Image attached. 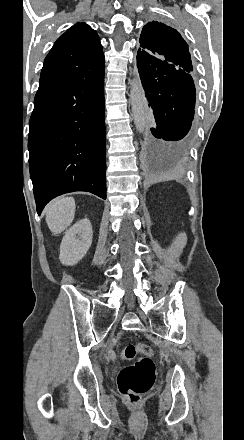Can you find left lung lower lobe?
<instances>
[{"instance_id": "1", "label": "left lung lower lobe", "mask_w": 244, "mask_h": 440, "mask_svg": "<svg viewBox=\"0 0 244 440\" xmlns=\"http://www.w3.org/2000/svg\"><path fill=\"white\" fill-rule=\"evenodd\" d=\"M147 105L152 109L144 127L149 155L176 153L189 145L194 118L195 86L191 73L137 62Z\"/></svg>"}]
</instances>
